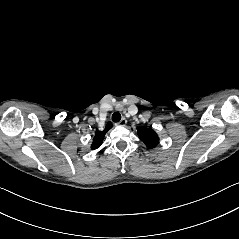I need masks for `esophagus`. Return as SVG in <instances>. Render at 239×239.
<instances>
[{
  "instance_id": "obj_1",
  "label": "esophagus",
  "mask_w": 239,
  "mask_h": 239,
  "mask_svg": "<svg viewBox=\"0 0 239 239\" xmlns=\"http://www.w3.org/2000/svg\"><path fill=\"white\" fill-rule=\"evenodd\" d=\"M126 123H127V120H126L125 118H122V119L120 120V122L117 123V125H119V126H125Z\"/></svg>"
}]
</instances>
